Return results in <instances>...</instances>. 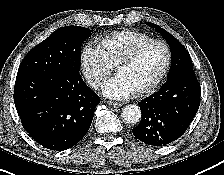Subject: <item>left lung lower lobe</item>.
<instances>
[{"label":"left lung lower lobe","instance_id":"left-lung-lower-lobe-1","mask_svg":"<svg viewBox=\"0 0 224 175\" xmlns=\"http://www.w3.org/2000/svg\"><path fill=\"white\" fill-rule=\"evenodd\" d=\"M200 96V84L193 70H180L168 76L158 92L138 103L142 119L133 128L134 136L152 146L177 140L195 117Z\"/></svg>","mask_w":224,"mask_h":175}]
</instances>
